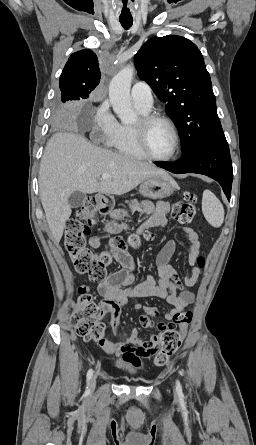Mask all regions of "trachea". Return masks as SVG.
<instances>
[{"label": "trachea", "instance_id": "trachea-1", "mask_svg": "<svg viewBox=\"0 0 256 445\" xmlns=\"http://www.w3.org/2000/svg\"><path fill=\"white\" fill-rule=\"evenodd\" d=\"M120 23L122 27L127 30L132 26L133 20H120Z\"/></svg>", "mask_w": 256, "mask_h": 445}]
</instances>
